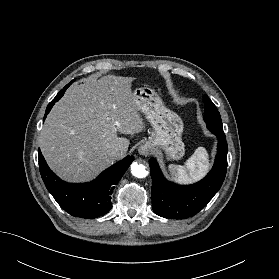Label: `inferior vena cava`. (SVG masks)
I'll return each mask as SVG.
<instances>
[{"label": "inferior vena cava", "instance_id": "inferior-vena-cava-1", "mask_svg": "<svg viewBox=\"0 0 279 279\" xmlns=\"http://www.w3.org/2000/svg\"><path fill=\"white\" fill-rule=\"evenodd\" d=\"M122 153L123 152L121 149L115 148V149L111 150L109 154L113 157H118V156L122 155Z\"/></svg>", "mask_w": 279, "mask_h": 279}]
</instances>
